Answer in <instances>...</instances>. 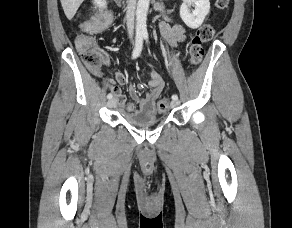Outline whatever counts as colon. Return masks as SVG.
Here are the masks:
<instances>
[{"label":"colon","instance_id":"colon-1","mask_svg":"<svg viewBox=\"0 0 292 228\" xmlns=\"http://www.w3.org/2000/svg\"><path fill=\"white\" fill-rule=\"evenodd\" d=\"M229 1L230 0H216V4L218 8L224 10L228 7ZM111 22L112 16L109 13H105L100 18L84 24V33L80 34L76 39V47L81 55L83 63L95 74L99 73L103 61V54L91 34L107 28ZM214 34V28L211 25L205 24L198 28L192 35L188 51L189 61L192 66H197L201 63L204 56L203 44L209 42ZM169 106L170 99L168 97H162L157 103L159 112L166 111Z\"/></svg>","mask_w":292,"mask_h":228}]
</instances>
